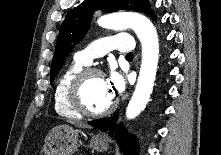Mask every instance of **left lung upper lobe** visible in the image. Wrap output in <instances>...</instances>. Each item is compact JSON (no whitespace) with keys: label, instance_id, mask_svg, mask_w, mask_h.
I'll list each match as a JSON object with an SVG mask.
<instances>
[{"label":"left lung upper lobe","instance_id":"left-lung-upper-lobe-1","mask_svg":"<svg viewBox=\"0 0 221 155\" xmlns=\"http://www.w3.org/2000/svg\"><path fill=\"white\" fill-rule=\"evenodd\" d=\"M148 0H85L73 8L63 21L53 57L50 83L53 82L58 71L63 66L66 57L74 46L83 39L88 30L93 11L103 12L118 10H135L150 13Z\"/></svg>","mask_w":221,"mask_h":155}]
</instances>
